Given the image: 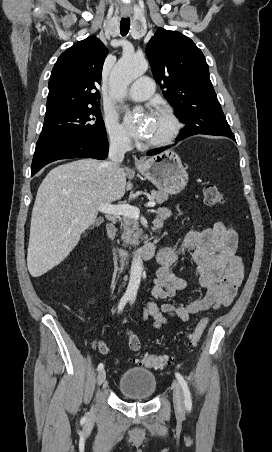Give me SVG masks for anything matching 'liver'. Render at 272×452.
<instances>
[{"label": "liver", "instance_id": "6515ba94", "mask_svg": "<svg viewBox=\"0 0 272 452\" xmlns=\"http://www.w3.org/2000/svg\"><path fill=\"white\" fill-rule=\"evenodd\" d=\"M126 174L109 176L104 162L80 159L52 169L40 184L32 210L28 270L40 277L59 265L96 220L98 207L120 200Z\"/></svg>", "mask_w": 272, "mask_h": 452}]
</instances>
